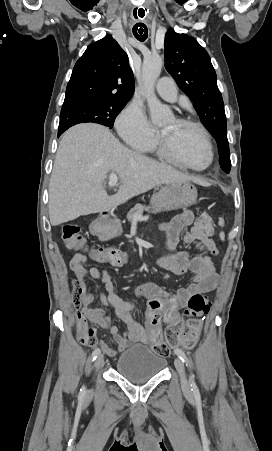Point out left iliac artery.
<instances>
[{
  "label": "left iliac artery",
  "mask_w": 272,
  "mask_h": 451,
  "mask_svg": "<svg viewBox=\"0 0 272 451\" xmlns=\"http://www.w3.org/2000/svg\"><path fill=\"white\" fill-rule=\"evenodd\" d=\"M176 355L186 364V366H189V361L185 355V353L181 349L175 350ZM190 385L191 390L193 391L194 397L196 400H201L199 389L195 383L194 375L191 373L190 375Z\"/></svg>",
  "instance_id": "44dca946"
}]
</instances>
